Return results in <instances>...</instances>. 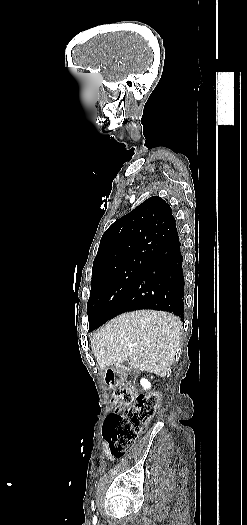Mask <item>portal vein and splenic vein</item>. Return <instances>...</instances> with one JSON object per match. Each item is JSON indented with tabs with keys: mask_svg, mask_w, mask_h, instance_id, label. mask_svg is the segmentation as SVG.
<instances>
[{
	"mask_svg": "<svg viewBox=\"0 0 247 525\" xmlns=\"http://www.w3.org/2000/svg\"><path fill=\"white\" fill-rule=\"evenodd\" d=\"M135 346V343H131L130 348H133Z\"/></svg>",
	"mask_w": 247,
	"mask_h": 525,
	"instance_id": "obj_1",
	"label": "portal vein and splenic vein"
}]
</instances>
